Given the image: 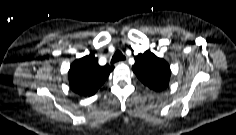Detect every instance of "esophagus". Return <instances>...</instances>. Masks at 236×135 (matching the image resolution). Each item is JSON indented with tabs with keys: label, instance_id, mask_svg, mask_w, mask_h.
<instances>
[{
	"label": "esophagus",
	"instance_id": "1",
	"mask_svg": "<svg viewBox=\"0 0 236 135\" xmlns=\"http://www.w3.org/2000/svg\"><path fill=\"white\" fill-rule=\"evenodd\" d=\"M127 63V60H122L120 62H118L119 65H123V64H126Z\"/></svg>",
	"mask_w": 236,
	"mask_h": 135
}]
</instances>
